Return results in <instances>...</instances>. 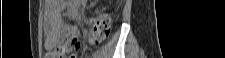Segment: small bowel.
I'll return each instance as SVG.
<instances>
[{
  "instance_id": "1",
  "label": "small bowel",
  "mask_w": 225,
  "mask_h": 58,
  "mask_svg": "<svg viewBox=\"0 0 225 58\" xmlns=\"http://www.w3.org/2000/svg\"><path fill=\"white\" fill-rule=\"evenodd\" d=\"M68 5L65 1L48 0L44 9V27L46 32L45 47L52 51L63 41L66 33V25L62 20L61 13Z\"/></svg>"
}]
</instances>
